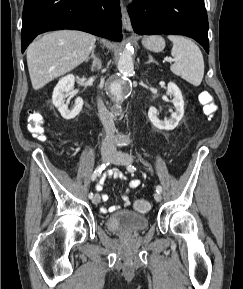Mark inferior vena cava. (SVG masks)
Segmentation results:
<instances>
[{
	"label": "inferior vena cava",
	"instance_id": "1",
	"mask_svg": "<svg viewBox=\"0 0 243 289\" xmlns=\"http://www.w3.org/2000/svg\"><path fill=\"white\" fill-rule=\"evenodd\" d=\"M98 112L106 132L105 139L102 141L101 150L110 153H115L116 152V147L114 143L115 124L113 121L112 114L104 106L103 101L101 99L98 100Z\"/></svg>",
	"mask_w": 243,
	"mask_h": 289
}]
</instances>
